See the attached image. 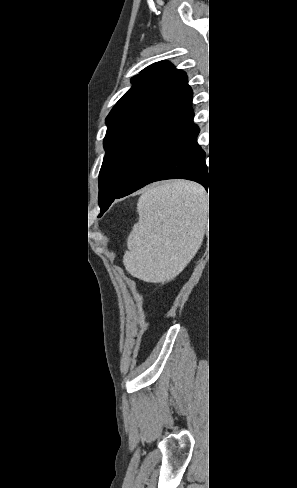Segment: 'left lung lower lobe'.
<instances>
[{"label": "left lung lower lobe", "instance_id": "1", "mask_svg": "<svg viewBox=\"0 0 297 488\" xmlns=\"http://www.w3.org/2000/svg\"><path fill=\"white\" fill-rule=\"evenodd\" d=\"M199 128L190 123L158 149L135 173L132 179L102 209L101 215L116 198L127 196L145 185L165 179L182 178L196 181L208 189L205 152L196 142ZM210 185V184H209Z\"/></svg>", "mask_w": 297, "mask_h": 488}]
</instances>
